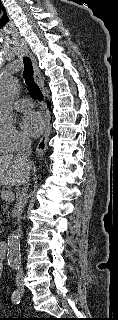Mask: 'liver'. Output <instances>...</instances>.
I'll return each mask as SVG.
<instances>
[{"label": "liver", "instance_id": "liver-1", "mask_svg": "<svg viewBox=\"0 0 118 320\" xmlns=\"http://www.w3.org/2000/svg\"><path fill=\"white\" fill-rule=\"evenodd\" d=\"M31 164L29 170L31 169ZM26 166L15 155L0 156V184L19 186L25 180Z\"/></svg>", "mask_w": 118, "mask_h": 320}]
</instances>
